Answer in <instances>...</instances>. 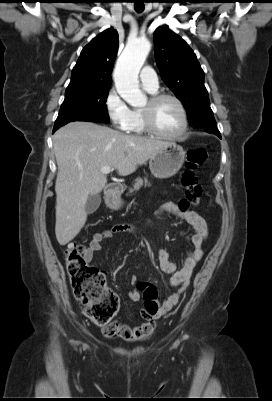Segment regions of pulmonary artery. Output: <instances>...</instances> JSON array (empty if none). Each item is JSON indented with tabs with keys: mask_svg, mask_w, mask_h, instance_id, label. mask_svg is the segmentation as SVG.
I'll return each instance as SVG.
<instances>
[{
	"mask_svg": "<svg viewBox=\"0 0 272 401\" xmlns=\"http://www.w3.org/2000/svg\"><path fill=\"white\" fill-rule=\"evenodd\" d=\"M140 81L142 86L149 92H156L158 89V77L156 75L155 70L146 66L142 69L140 74Z\"/></svg>",
	"mask_w": 272,
	"mask_h": 401,
	"instance_id": "obj_1",
	"label": "pulmonary artery"
}]
</instances>
